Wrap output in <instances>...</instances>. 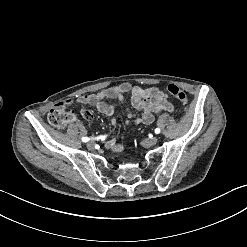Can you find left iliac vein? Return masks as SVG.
I'll list each match as a JSON object with an SVG mask.
<instances>
[{
  "label": "left iliac vein",
  "mask_w": 247,
  "mask_h": 247,
  "mask_svg": "<svg viewBox=\"0 0 247 247\" xmlns=\"http://www.w3.org/2000/svg\"><path fill=\"white\" fill-rule=\"evenodd\" d=\"M157 142H158V138L156 136L150 139H144L141 141L142 145L147 148L152 145H155Z\"/></svg>",
  "instance_id": "obj_1"
}]
</instances>
